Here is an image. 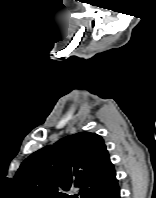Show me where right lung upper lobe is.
Masks as SVG:
<instances>
[{"label":"right lung upper lobe","instance_id":"right-lung-upper-lobe-1","mask_svg":"<svg viewBox=\"0 0 156 198\" xmlns=\"http://www.w3.org/2000/svg\"><path fill=\"white\" fill-rule=\"evenodd\" d=\"M15 179L34 195L52 198L65 197L58 187L76 190L79 198H104L118 186L103 138L90 132L36 151L21 164Z\"/></svg>","mask_w":156,"mask_h":198}]
</instances>
